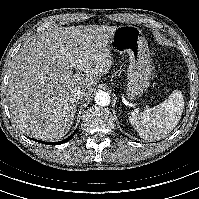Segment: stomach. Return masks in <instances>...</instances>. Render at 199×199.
Returning a JSON list of instances; mask_svg holds the SVG:
<instances>
[{
    "label": "stomach",
    "instance_id": "stomach-1",
    "mask_svg": "<svg viewBox=\"0 0 199 199\" xmlns=\"http://www.w3.org/2000/svg\"><path fill=\"white\" fill-rule=\"evenodd\" d=\"M114 52L129 55L126 95L133 101L142 96L149 86L152 75V61L142 30L133 25L120 26L109 42Z\"/></svg>",
    "mask_w": 199,
    "mask_h": 199
}]
</instances>
